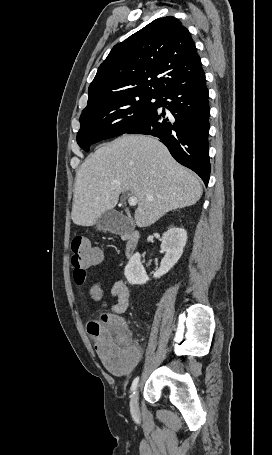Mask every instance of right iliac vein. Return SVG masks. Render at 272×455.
Segmentation results:
<instances>
[{"label": "right iliac vein", "instance_id": "63e3f726", "mask_svg": "<svg viewBox=\"0 0 272 455\" xmlns=\"http://www.w3.org/2000/svg\"><path fill=\"white\" fill-rule=\"evenodd\" d=\"M138 400H139V391L136 390L130 400V410H131L132 415H134V416H137L139 413Z\"/></svg>", "mask_w": 272, "mask_h": 455}]
</instances>
